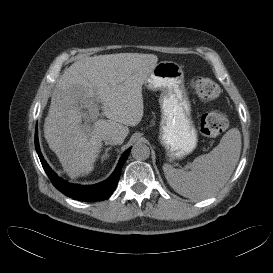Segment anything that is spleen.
Returning <instances> with one entry per match:
<instances>
[{
	"label": "spleen",
	"instance_id": "obj_1",
	"mask_svg": "<svg viewBox=\"0 0 273 273\" xmlns=\"http://www.w3.org/2000/svg\"><path fill=\"white\" fill-rule=\"evenodd\" d=\"M241 152V134L237 128L228 130L220 143L208 154L194 159L191 171L163 165L169 185L180 195L201 200L214 195L229 180Z\"/></svg>",
	"mask_w": 273,
	"mask_h": 273
}]
</instances>
